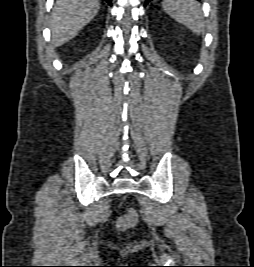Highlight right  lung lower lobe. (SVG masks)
Wrapping results in <instances>:
<instances>
[{"label":"right lung lower lobe","instance_id":"1","mask_svg":"<svg viewBox=\"0 0 254 267\" xmlns=\"http://www.w3.org/2000/svg\"><path fill=\"white\" fill-rule=\"evenodd\" d=\"M109 5H111V0H105Z\"/></svg>","mask_w":254,"mask_h":267}]
</instances>
